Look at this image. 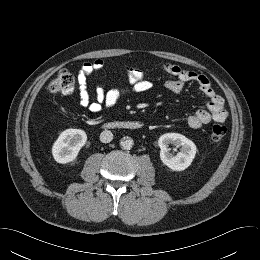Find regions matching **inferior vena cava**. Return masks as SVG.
Returning <instances> with one entry per match:
<instances>
[{"label":"inferior vena cava","instance_id":"1","mask_svg":"<svg viewBox=\"0 0 260 260\" xmlns=\"http://www.w3.org/2000/svg\"><path fill=\"white\" fill-rule=\"evenodd\" d=\"M112 139H113V134L111 131L105 130V131L101 132L100 141L102 143H109L112 141Z\"/></svg>","mask_w":260,"mask_h":260}]
</instances>
